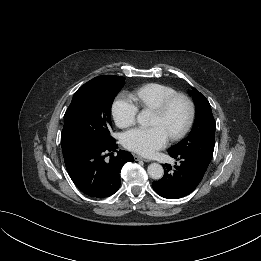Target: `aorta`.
Instances as JSON below:
<instances>
[{"label":"aorta","mask_w":261,"mask_h":261,"mask_svg":"<svg viewBox=\"0 0 261 261\" xmlns=\"http://www.w3.org/2000/svg\"><path fill=\"white\" fill-rule=\"evenodd\" d=\"M149 118H150V115H149L148 111L144 110L138 114L137 122L142 126H146L149 123ZM147 171H148L149 176L155 180L161 179L164 175V169L158 163H151L148 166Z\"/></svg>","instance_id":"aorta-1"}]
</instances>
